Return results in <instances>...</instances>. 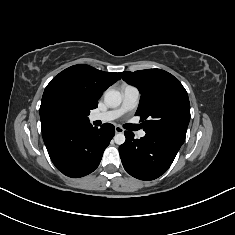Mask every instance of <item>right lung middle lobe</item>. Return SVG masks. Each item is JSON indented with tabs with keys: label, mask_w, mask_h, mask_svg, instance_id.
Listing matches in <instances>:
<instances>
[{
	"label": "right lung middle lobe",
	"mask_w": 235,
	"mask_h": 235,
	"mask_svg": "<svg viewBox=\"0 0 235 235\" xmlns=\"http://www.w3.org/2000/svg\"><path fill=\"white\" fill-rule=\"evenodd\" d=\"M42 120L48 129L79 122L73 105L58 94H54L46 100L42 111Z\"/></svg>",
	"instance_id": "obj_1"
}]
</instances>
